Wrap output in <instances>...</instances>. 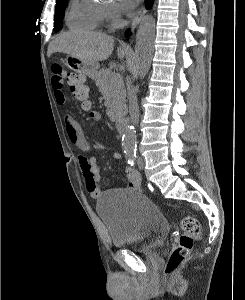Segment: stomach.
Here are the masks:
<instances>
[{
	"instance_id": "stomach-1",
	"label": "stomach",
	"mask_w": 245,
	"mask_h": 300,
	"mask_svg": "<svg viewBox=\"0 0 245 300\" xmlns=\"http://www.w3.org/2000/svg\"><path fill=\"white\" fill-rule=\"evenodd\" d=\"M65 61L66 65L71 70L84 74L90 78H95L98 73V63L84 61L72 55H68Z\"/></svg>"
}]
</instances>
